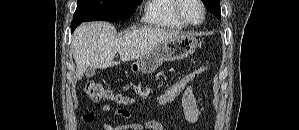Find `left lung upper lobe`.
<instances>
[{"instance_id":"1","label":"left lung upper lobe","mask_w":299,"mask_h":130,"mask_svg":"<svg viewBox=\"0 0 299 130\" xmlns=\"http://www.w3.org/2000/svg\"><path fill=\"white\" fill-rule=\"evenodd\" d=\"M206 8L215 14L218 19H221L220 2L219 0H202Z\"/></svg>"}]
</instances>
